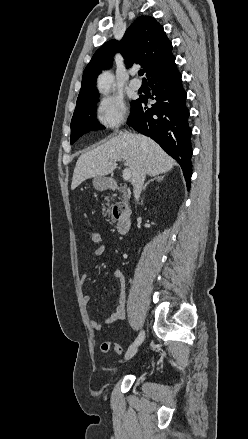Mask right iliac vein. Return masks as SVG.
I'll return each mask as SVG.
<instances>
[{"mask_svg":"<svg viewBox=\"0 0 248 439\" xmlns=\"http://www.w3.org/2000/svg\"><path fill=\"white\" fill-rule=\"evenodd\" d=\"M137 350H138V344L137 345L133 344L132 346H130L125 354V357H124L125 360L131 359L137 353Z\"/></svg>","mask_w":248,"mask_h":439,"instance_id":"right-iliac-vein-1","label":"right iliac vein"}]
</instances>
